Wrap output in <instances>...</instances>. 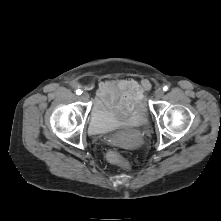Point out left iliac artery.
<instances>
[{"instance_id":"obj_1","label":"left iliac artery","mask_w":221,"mask_h":221,"mask_svg":"<svg viewBox=\"0 0 221 221\" xmlns=\"http://www.w3.org/2000/svg\"><path fill=\"white\" fill-rule=\"evenodd\" d=\"M163 90H164V91H167V90H168V87H167V86H164V87H163Z\"/></svg>"}]
</instances>
